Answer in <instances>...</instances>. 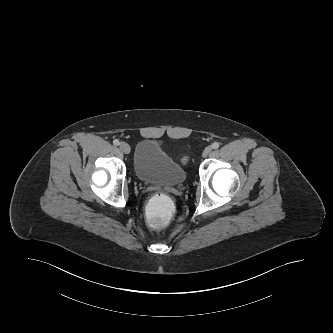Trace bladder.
<instances>
[{
	"instance_id": "bladder-1",
	"label": "bladder",
	"mask_w": 333,
	"mask_h": 333,
	"mask_svg": "<svg viewBox=\"0 0 333 333\" xmlns=\"http://www.w3.org/2000/svg\"><path fill=\"white\" fill-rule=\"evenodd\" d=\"M133 168L140 181L164 187L180 186L187 176L185 168L151 139L137 145Z\"/></svg>"
}]
</instances>
